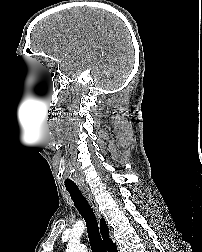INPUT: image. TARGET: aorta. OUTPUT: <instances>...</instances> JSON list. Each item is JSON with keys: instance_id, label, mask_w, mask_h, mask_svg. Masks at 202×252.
<instances>
[{"instance_id": "762f6f07", "label": "aorta", "mask_w": 202, "mask_h": 252, "mask_svg": "<svg viewBox=\"0 0 202 252\" xmlns=\"http://www.w3.org/2000/svg\"><path fill=\"white\" fill-rule=\"evenodd\" d=\"M66 252H87L84 245L70 243L67 246Z\"/></svg>"}]
</instances>
